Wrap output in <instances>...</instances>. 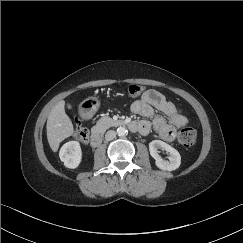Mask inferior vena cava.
Wrapping results in <instances>:
<instances>
[{"mask_svg": "<svg viewBox=\"0 0 243 243\" xmlns=\"http://www.w3.org/2000/svg\"><path fill=\"white\" fill-rule=\"evenodd\" d=\"M116 137V132L114 130H109L105 134V139L107 141L113 140Z\"/></svg>", "mask_w": 243, "mask_h": 243, "instance_id": "602c4592", "label": "inferior vena cava"}]
</instances>
